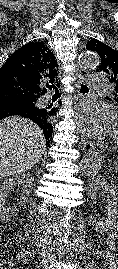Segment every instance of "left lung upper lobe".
<instances>
[{
    "label": "left lung upper lobe",
    "instance_id": "left-lung-upper-lobe-1",
    "mask_svg": "<svg viewBox=\"0 0 118 269\" xmlns=\"http://www.w3.org/2000/svg\"><path fill=\"white\" fill-rule=\"evenodd\" d=\"M86 49L97 52L101 58V64L97 68V72L107 74V78L114 86L113 99L118 102V51L96 39L89 41L86 44ZM111 100L110 98H106Z\"/></svg>",
    "mask_w": 118,
    "mask_h": 269
}]
</instances>
